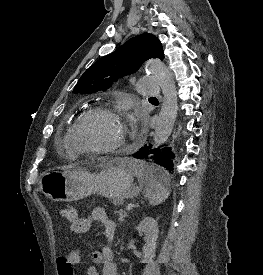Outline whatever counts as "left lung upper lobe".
<instances>
[{"label":"left lung upper lobe","mask_w":263,"mask_h":275,"mask_svg":"<svg viewBox=\"0 0 263 275\" xmlns=\"http://www.w3.org/2000/svg\"><path fill=\"white\" fill-rule=\"evenodd\" d=\"M151 58H164L159 39L149 33L131 38L90 66L79 79L73 93L104 91L119 78L136 72L143 62Z\"/></svg>","instance_id":"left-lung-upper-lobe-1"}]
</instances>
